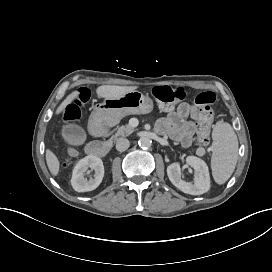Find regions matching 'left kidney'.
Instances as JSON below:
<instances>
[{
	"mask_svg": "<svg viewBox=\"0 0 272 272\" xmlns=\"http://www.w3.org/2000/svg\"><path fill=\"white\" fill-rule=\"evenodd\" d=\"M187 162L195 169L194 182H187L181 178L179 165L167 167V175L171 183L187 194L199 195L207 192L211 187L209 167L207 163L194 155L187 157Z\"/></svg>",
	"mask_w": 272,
	"mask_h": 272,
	"instance_id": "obj_1",
	"label": "left kidney"
}]
</instances>
